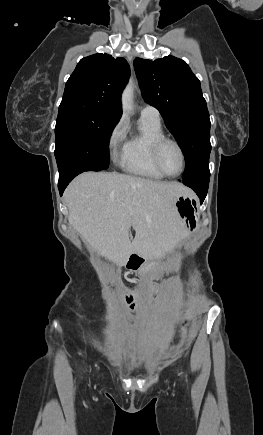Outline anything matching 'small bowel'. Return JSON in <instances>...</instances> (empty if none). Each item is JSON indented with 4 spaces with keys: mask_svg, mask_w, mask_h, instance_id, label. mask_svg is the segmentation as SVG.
Here are the masks:
<instances>
[{
    "mask_svg": "<svg viewBox=\"0 0 263 435\" xmlns=\"http://www.w3.org/2000/svg\"><path fill=\"white\" fill-rule=\"evenodd\" d=\"M131 304V308L134 309V303L129 302ZM169 348H174V343H169Z\"/></svg>",
    "mask_w": 263,
    "mask_h": 435,
    "instance_id": "small-bowel-1",
    "label": "small bowel"
}]
</instances>
